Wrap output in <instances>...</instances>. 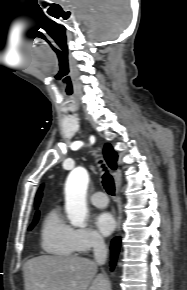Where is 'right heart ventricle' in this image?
Returning <instances> with one entry per match:
<instances>
[{
	"label": "right heart ventricle",
	"mask_w": 187,
	"mask_h": 290,
	"mask_svg": "<svg viewBox=\"0 0 187 290\" xmlns=\"http://www.w3.org/2000/svg\"><path fill=\"white\" fill-rule=\"evenodd\" d=\"M41 246L51 255L70 257L76 252L73 243V229L62 219L57 208L44 217L41 227Z\"/></svg>",
	"instance_id": "1"
}]
</instances>
